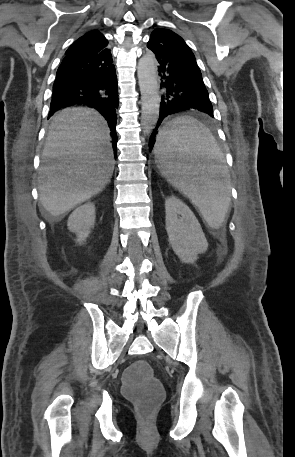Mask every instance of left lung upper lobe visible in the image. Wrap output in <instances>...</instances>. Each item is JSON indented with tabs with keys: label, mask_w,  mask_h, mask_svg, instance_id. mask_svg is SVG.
<instances>
[{
	"label": "left lung upper lobe",
	"mask_w": 295,
	"mask_h": 457,
	"mask_svg": "<svg viewBox=\"0 0 295 457\" xmlns=\"http://www.w3.org/2000/svg\"><path fill=\"white\" fill-rule=\"evenodd\" d=\"M150 40L157 41L170 50L196 62L195 56L190 47L182 37L168 29H156L152 32Z\"/></svg>",
	"instance_id": "left-lung-upper-lobe-1"
}]
</instances>
